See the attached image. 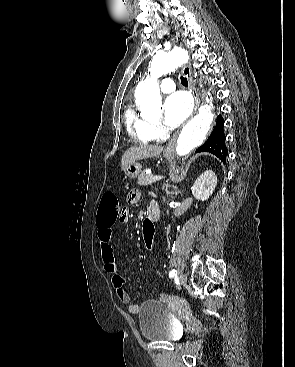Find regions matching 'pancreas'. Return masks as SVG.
Listing matches in <instances>:
<instances>
[{
	"label": "pancreas",
	"mask_w": 295,
	"mask_h": 367,
	"mask_svg": "<svg viewBox=\"0 0 295 367\" xmlns=\"http://www.w3.org/2000/svg\"><path fill=\"white\" fill-rule=\"evenodd\" d=\"M153 175L151 174H146V173H141L139 176H138V184L139 185H142V186H148V185H151L153 182L150 181V178L152 177Z\"/></svg>",
	"instance_id": "obj_1"
}]
</instances>
